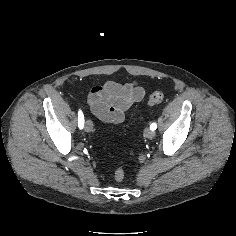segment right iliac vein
Returning <instances> with one entry per match:
<instances>
[{
  "label": "right iliac vein",
  "instance_id": "63e3f726",
  "mask_svg": "<svg viewBox=\"0 0 236 236\" xmlns=\"http://www.w3.org/2000/svg\"><path fill=\"white\" fill-rule=\"evenodd\" d=\"M84 129H85L86 132H91V131H92V129H93V123H92L91 120H87V121L85 122V127H84Z\"/></svg>",
  "mask_w": 236,
  "mask_h": 236
}]
</instances>
